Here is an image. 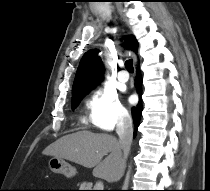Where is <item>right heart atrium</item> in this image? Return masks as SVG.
Here are the masks:
<instances>
[{"instance_id": "right-heart-atrium-1", "label": "right heart atrium", "mask_w": 210, "mask_h": 191, "mask_svg": "<svg viewBox=\"0 0 210 191\" xmlns=\"http://www.w3.org/2000/svg\"><path fill=\"white\" fill-rule=\"evenodd\" d=\"M86 106L89 121L102 131H112L129 119L128 111L120 102L117 93L108 88L96 90Z\"/></svg>"}]
</instances>
